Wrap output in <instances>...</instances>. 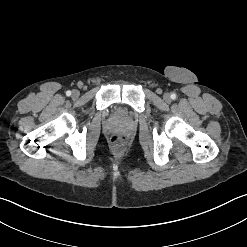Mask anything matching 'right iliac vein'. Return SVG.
<instances>
[{"label": "right iliac vein", "instance_id": "right-iliac-vein-1", "mask_svg": "<svg viewBox=\"0 0 247 247\" xmlns=\"http://www.w3.org/2000/svg\"><path fill=\"white\" fill-rule=\"evenodd\" d=\"M80 95V92L78 90L72 91V98L77 99Z\"/></svg>", "mask_w": 247, "mask_h": 247}]
</instances>
